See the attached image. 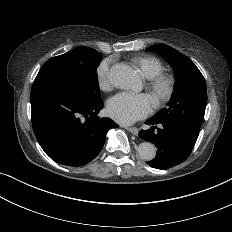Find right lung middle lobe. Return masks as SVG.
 Listing matches in <instances>:
<instances>
[{
  "label": "right lung middle lobe",
  "mask_w": 232,
  "mask_h": 232,
  "mask_svg": "<svg viewBox=\"0 0 232 232\" xmlns=\"http://www.w3.org/2000/svg\"><path fill=\"white\" fill-rule=\"evenodd\" d=\"M102 54L89 47H76L69 52L50 58L42 67H60L89 101L101 100L97 67Z\"/></svg>",
  "instance_id": "dd1d6c3e"
}]
</instances>
